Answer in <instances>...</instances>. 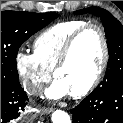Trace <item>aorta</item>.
Wrapping results in <instances>:
<instances>
[{"label":"aorta","instance_id":"762f6f07","mask_svg":"<svg viewBox=\"0 0 123 123\" xmlns=\"http://www.w3.org/2000/svg\"><path fill=\"white\" fill-rule=\"evenodd\" d=\"M53 123H71L70 116L62 110H56L51 116Z\"/></svg>","mask_w":123,"mask_h":123}]
</instances>
